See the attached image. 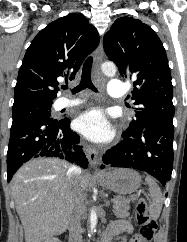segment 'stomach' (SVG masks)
Wrapping results in <instances>:
<instances>
[{"mask_svg":"<svg viewBox=\"0 0 187 242\" xmlns=\"http://www.w3.org/2000/svg\"><path fill=\"white\" fill-rule=\"evenodd\" d=\"M99 183L120 194H130L141 185V176L132 169H114L98 177Z\"/></svg>","mask_w":187,"mask_h":242,"instance_id":"0dacf381","label":"stomach"}]
</instances>
